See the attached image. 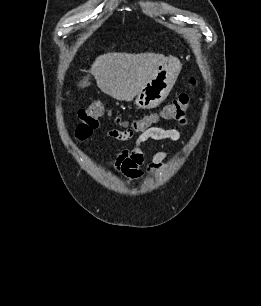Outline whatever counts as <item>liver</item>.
I'll list each match as a JSON object with an SVG mask.
<instances>
[{
  "instance_id": "obj_1",
  "label": "liver",
  "mask_w": 261,
  "mask_h": 306,
  "mask_svg": "<svg viewBox=\"0 0 261 306\" xmlns=\"http://www.w3.org/2000/svg\"><path fill=\"white\" fill-rule=\"evenodd\" d=\"M165 59L156 53H106L95 59L89 73L102 92L119 101H131ZM89 77H84L78 86H89Z\"/></svg>"
}]
</instances>
